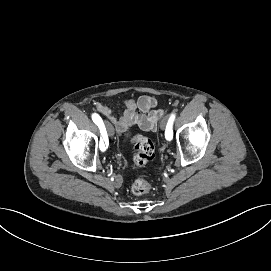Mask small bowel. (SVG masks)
<instances>
[{
  "label": "small bowel",
  "instance_id": "small-bowel-1",
  "mask_svg": "<svg viewBox=\"0 0 271 271\" xmlns=\"http://www.w3.org/2000/svg\"><path fill=\"white\" fill-rule=\"evenodd\" d=\"M123 112L115 116L111 108L102 103H96V110L103 115L113 129L122 134L131 126H137L143 131H155L164 114L157 109V101L151 96H140L137 99H127L123 104Z\"/></svg>",
  "mask_w": 271,
  "mask_h": 271
}]
</instances>
